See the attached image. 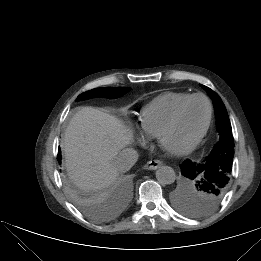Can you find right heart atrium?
Segmentation results:
<instances>
[{"mask_svg":"<svg viewBox=\"0 0 261 261\" xmlns=\"http://www.w3.org/2000/svg\"><path fill=\"white\" fill-rule=\"evenodd\" d=\"M149 141H150L149 138L146 137V136L143 135V134L139 135V137H138V142H139L141 145H143V146L148 145Z\"/></svg>","mask_w":261,"mask_h":261,"instance_id":"1","label":"right heart atrium"}]
</instances>
